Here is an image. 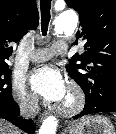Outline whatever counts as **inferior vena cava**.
I'll use <instances>...</instances> for the list:
<instances>
[{"label":"inferior vena cava","instance_id":"inferior-vena-cava-1","mask_svg":"<svg viewBox=\"0 0 116 134\" xmlns=\"http://www.w3.org/2000/svg\"><path fill=\"white\" fill-rule=\"evenodd\" d=\"M39 111L38 98L32 97L21 105L20 114L24 118H34Z\"/></svg>","mask_w":116,"mask_h":134}]
</instances>
